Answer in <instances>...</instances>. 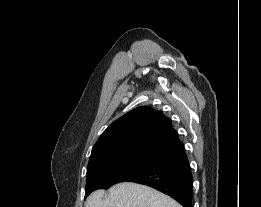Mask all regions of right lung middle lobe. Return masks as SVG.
Returning a JSON list of instances; mask_svg holds the SVG:
<instances>
[{"label":"right lung middle lobe","mask_w":261,"mask_h":207,"mask_svg":"<svg viewBox=\"0 0 261 207\" xmlns=\"http://www.w3.org/2000/svg\"><path fill=\"white\" fill-rule=\"evenodd\" d=\"M157 162L151 158L132 156L88 165L85 197L96 189H107L123 182Z\"/></svg>","instance_id":"obj_1"}]
</instances>
